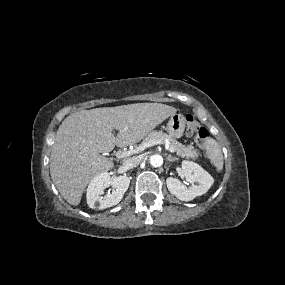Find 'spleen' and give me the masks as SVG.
I'll use <instances>...</instances> for the list:
<instances>
[{
	"label": "spleen",
	"mask_w": 285,
	"mask_h": 285,
	"mask_svg": "<svg viewBox=\"0 0 285 285\" xmlns=\"http://www.w3.org/2000/svg\"><path fill=\"white\" fill-rule=\"evenodd\" d=\"M207 156L211 164L220 172L223 168V154L217 141L209 139L206 146Z\"/></svg>",
	"instance_id": "spleen-1"
}]
</instances>
